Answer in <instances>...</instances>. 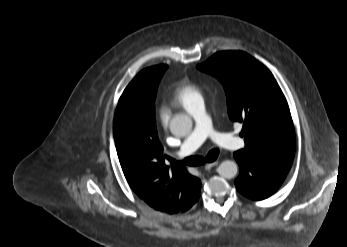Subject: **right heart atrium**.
I'll return each instance as SVG.
<instances>
[{"label":"right heart atrium","instance_id":"1","mask_svg":"<svg viewBox=\"0 0 347 247\" xmlns=\"http://www.w3.org/2000/svg\"><path fill=\"white\" fill-rule=\"evenodd\" d=\"M159 121L163 127H167L170 121L169 114L166 111L161 110L159 112Z\"/></svg>","mask_w":347,"mask_h":247}]
</instances>
